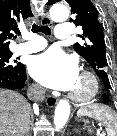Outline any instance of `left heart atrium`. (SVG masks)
I'll return each instance as SVG.
<instances>
[{"label":"left heart atrium","instance_id":"1","mask_svg":"<svg viewBox=\"0 0 117 136\" xmlns=\"http://www.w3.org/2000/svg\"><path fill=\"white\" fill-rule=\"evenodd\" d=\"M29 72L43 86L58 90H72L79 77L76 59L59 48L34 56Z\"/></svg>","mask_w":117,"mask_h":136}]
</instances>
